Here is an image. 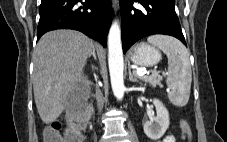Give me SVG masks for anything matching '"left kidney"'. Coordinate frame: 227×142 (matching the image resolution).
Returning <instances> with one entry per match:
<instances>
[{"instance_id":"5707ae66","label":"left kidney","mask_w":227,"mask_h":142,"mask_svg":"<svg viewBox=\"0 0 227 142\" xmlns=\"http://www.w3.org/2000/svg\"><path fill=\"white\" fill-rule=\"evenodd\" d=\"M153 104L156 108L157 116L144 124V133L148 138L158 140L169 127V112L160 100L154 99Z\"/></svg>"}]
</instances>
